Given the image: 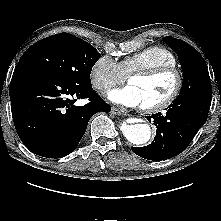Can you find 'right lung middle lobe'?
I'll list each match as a JSON object with an SVG mask.
<instances>
[{"label": "right lung middle lobe", "mask_w": 221, "mask_h": 221, "mask_svg": "<svg viewBox=\"0 0 221 221\" xmlns=\"http://www.w3.org/2000/svg\"><path fill=\"white\" fill-rule=\"evenodd\" d=\"M100 57L86 41L60 33L32 45L18 64L35 66L73 85L91 87V69Z\"/></svg>", "instance_id": "right-lung-middle-lobe-1"}]
</instances>
